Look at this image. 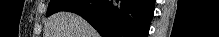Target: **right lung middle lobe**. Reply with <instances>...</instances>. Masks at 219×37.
I'll list each match as a JSON object with an SVG mask.
<instances>
[{"label":"right lung middle lobe","mask_w":219,"mask_h":37,"mask_svg":"<svg viewBox=\"0 0 219 37\" xmlns=\"http://www.w3.org/2000/svg\"><path fill=\"white\" fill-rule=\"evenodd\" d=\"M74 2L73 0H51L47 9L46 16L62 11L68 4Z\"/></svg>","instance_id":"dd1d6c3e"}]
</instances>
